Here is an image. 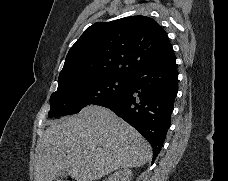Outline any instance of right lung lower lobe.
Here are the masks:
<instances>
[{
	"mask_svg": "<svg viewBox=\"0 0 228 181\" xmlns=\"http://www.w3.org/2000/svg\"><path fill=\"white\" fill-rule=\"evenodd\" d=\"M177 92L178 72L171 51L136 71L124 93L102 106L136 128L150 142L156 157L171 123Z\"/></svg>",
	"mask_w": 228,
	"mask_h": 181,
	"instance_id": "right-lung-lower-lobe-1",
	"label": "right lung lower lobe"
}]
</instances>
